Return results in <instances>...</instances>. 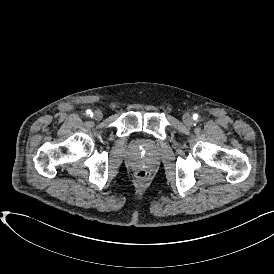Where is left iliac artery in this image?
I'll use <instances>...</instances> for the list:
<instances>
[{
	"mask_svg": "<svg viewBox=\"0 0 274 274\" xmlns=\"http://www.w3.org/2000/svg\"><path fill=\"white\" fill-rule=\"evenodd\" d=\"M193 119H194V120H197V119H198V114H194V115H193Z\"/></svg>",
	"mask_w": 274,
	"mask_h": 274,
	"instance_id": "left-iliac-artery-1",
	"label": "left iliac artery"
}]
</instances>
